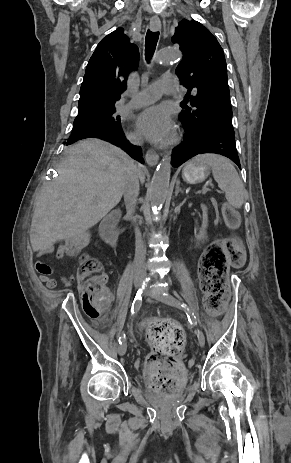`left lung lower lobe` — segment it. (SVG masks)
Instances as JSON below:
<instances>
[{"label": "left lung lower lobe", "instance_id": "0a47b994", "mask_svg": "<svg viewBox=\"0 0 291 463\" xmlns=\"http://www.w3.org/2000/svg\"><path fill=\"white\" fill-rule=\"evenodd\" d=\"M180 120L184 127V136L181 144L173 150V167L180 166L195 155L212 153L230 158L241 169L234 133L191 125Z\"/></svg>", "mask_w": 291, "mask_h": 463}]
</instances>
